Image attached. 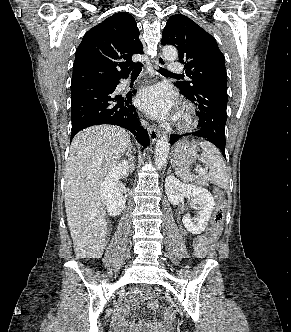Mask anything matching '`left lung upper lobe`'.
Instances as JSON below:
<instances>
[{
	"label": "left lung upper lobe",
	"mask_w": 291,
	"mask_h": 332,
	"mask_svg": "<svg viewBox=\"0 0 291 332\" xmlns=\"http://www.w3.org/2000/svg\"><path fill=\"white\" fill-rule=\"evenodd\" d=\"M162 45L171 44L179 51V61L192 81L175 85L184 95L199 89H227L225 58L216 40L185 15H172L163 30Z\"/></svg>",
	"instance_id": "left-lung-upper-lobe-1"
}]
</instances>
